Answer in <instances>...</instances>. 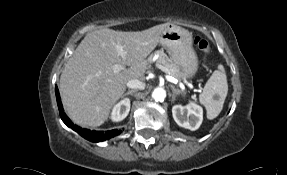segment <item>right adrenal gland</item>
I'll use <instances>...</instances> for the list:
<instances>
[{
    "instance_id": "right-adrenal-gland-1",
    "label": "right adrenal gland",
    "mask_w": 287,
    "mask_h": 175,
    "mask_svg": "<svg viewBox=\"0 0 287 175\" xmlns=\"http://www.w3.org/2000/svg\"><path fill=\"white\" fill-rule=\"evenodd\" d=\"M134 92H136V90H129V91H127L125 94H124V96H127V95H133V93Z\"/></svg>"
}]
</instances>
